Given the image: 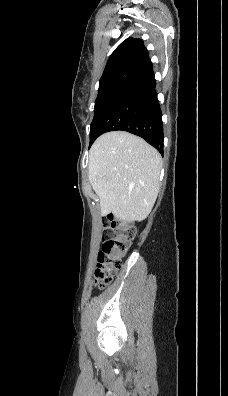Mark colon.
<instances>
[{"mask_svg":"<svg viewBox=\"0 0 228 396\" xmlns=\"http://www.w3.org/2000/svg\"><path fill=\"white\" fill-rule=\"evenodd\" d=\"M107 238L98 254V264L94 272V284L103 288L109 284L122 265L124 256L135 236V231L124 222L108 215L104 228Z\"/></svg>","mask_w":228,"mask_h":396,"instance_id":"5ec220e1","label":"colon"}]
</instances>
